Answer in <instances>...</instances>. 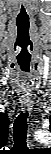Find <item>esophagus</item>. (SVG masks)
<instances>
[{
    "instance_id": "esophagus-1",
    "label": "esophagus",
    "mask_w": 51,
    "mask_h": 154,
    "mask_svg": "<svg viewBox=\"0 0 51 154\" xmlns=\"http://www.w3.org/2000/svg\"><path fill=\"white\" fill-rule=\"evenodd\" d=\"M23 110H24V111H30V109H29V108H23Z\"/></svg>"
}]
</instances>
